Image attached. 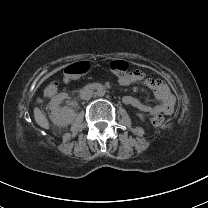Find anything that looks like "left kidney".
<instances>
[{
    "label": "left kidney",
    "instance_id": "1",
    "mask_svg": "<svg viewBox=\"0 0 208 208\" xmlns=\"http://www.w3.org/2000/svg\"><path fill=\"white\" fill-rule=\"evenodd\" d=\"M138 115V117L141 119V120H144V115L143 114H137Z\"/></svg>",
    "mask_w": 208,
    "mask_h": 208
}]
</instances>
